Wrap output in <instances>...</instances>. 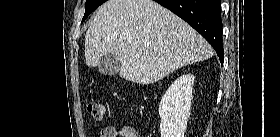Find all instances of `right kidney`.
<instances>
[{
  "instance_id": "ca27d5eb",
  "label": "right kidney",
  "mask_w": 280,
  "mask_h": 137,
  "mask_svg": "<svg viewBox=\"0 0 280 137\" xmlns=\"http://www.w3.org/2000/svg\"><path fill=\"white\" fill-rule=\"evenodd\" d=\"M194 75L176 79L163 95L159 105L161 137H184L190 115Z\"/></svg>"
}]
</instances>
